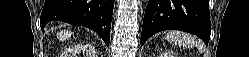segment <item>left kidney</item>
Segmentation results:
<instances>
[{
    "mask_svg": "<svg viewBox=\"0 0 249 57\" xmlns=\"http://www.w3.org/2000/svg\"><path fill=\"white\" fill-rule=\"evenodd\" d=\"M159 57H175V55H173V53L169 52H162Z\"/></svg>",
    "mask_w": 249,
    "mask_h": 57,
    "instance_id": "left-kidney-1",
    "label": "left kidney"
}]
</instances>
